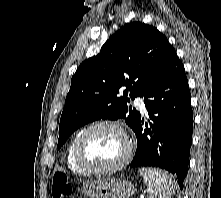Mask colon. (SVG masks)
I'll use <instances>...</instances> for the list:
<instances>
[{"instance_id":"5ec220e1","label":"colon","mask_w":221,"mask_h":198,"mask_svg":"<svg viewBox=\"0 0 221 198\" xmlns=\"http://www.w3.org/2000/svg\"><path fill=\"white\" fill-rule=\"evenodd\" d=\"M51 192L53 198H72V186L65 174L56 173L53 176Z\"/></svg>"}]
</instances>
